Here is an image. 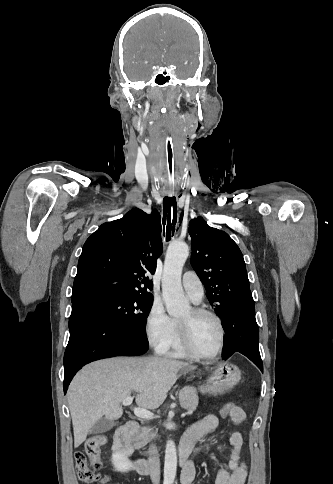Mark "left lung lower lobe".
Wrapping results in <instances>:
<instances>
[{"label":"left lung lower lobe","mask_w":333,"mask_h":484,"mask_svg":"<svg viewBox=\"0 0 333 484\" xmlns=\"http://www.w3.org/2000/svg\"><path fill=\"white\" fill-rule=\"evenodd\" d=\"M225 331L223 360L239 352L248 357L261 371L263 364L259 352V329L255 319V306L250 291L230 302L222 315Z\"/></svg>","instance_id":"0a47b994"}]
</instances>
